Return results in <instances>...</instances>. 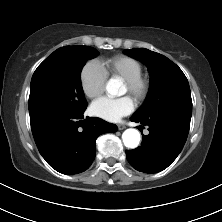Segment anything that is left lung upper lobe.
I'll list each match as a JSON object with an SVG mask.
<instances>
[{
  "label": "left lung upper lobe",
  "instance_id": "1",
  "mask_svg": "<svg viewBox=\"0 0 222 222\" xmlns=\"http://www.w3.org/2000/svg\"><path fill=\"white\" fill-rule=\"evenodd\" d=\"M124 53L143 62L151 75L147 98L135 115H151L162 110L177 109L191 116L192 100L188 80L175 63L145 48L126 49Z\"/></svg>",
  "mask_w": 222,
  "mask_h": 222
}]
</instances>
